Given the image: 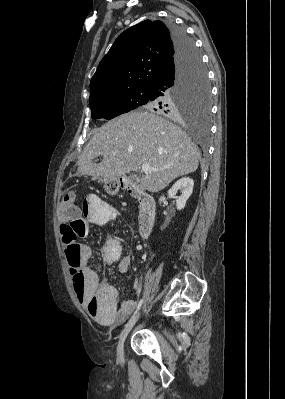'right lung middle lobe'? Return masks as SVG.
I'll list each match as a JSON object with an SVG mask.
<instances>
[{
    "instance_id": "right-lung-middle-lobe-1",
    "label": "right lung middle lobe",
    "mask_w": 285,
    "mask_h": 399,
    "mask_svg": "<svg viewBox=\"0 0 285 399\" xmlns=\"http://www.w3.org/2000/svg\"><path fill=\"white\" fill-rule=\"evenodd\" d=\"M165 99L170 100L173 104L171 112L164 105ZM89 103L92 119L110 120L139 106L166 114L193 110L202 118L208 119L211 109V93L206 69L199 52L196 51V56L185 70L181 80L168 91L165 97H155L150 88H137L95 98L89 100Z\"/></svg>"
}]
</instances>
